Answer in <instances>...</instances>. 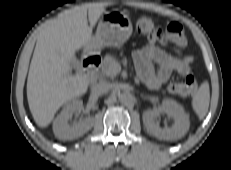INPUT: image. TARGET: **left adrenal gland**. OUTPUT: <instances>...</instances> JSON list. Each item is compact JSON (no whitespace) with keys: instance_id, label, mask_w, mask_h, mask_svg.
I'll return each mask as SVG.
<instances>
[{"instance_id":"1","label":"left adrenal gland","mask_w":231,"mask_h":170,"mask_svg":"<svg viewBox=\"0 0 231 170\" xmlns=\"http://www.w3.org/2000/svg\"><path fill=\"white\" fill-rule=\"evenodd\" d=\"M142 97H144L145 99H150L151 100V97H147V96H145V95H141Z\"/></svg>"}]
</instances>
